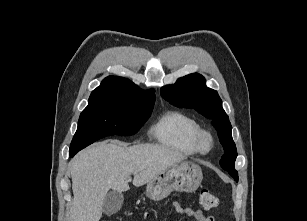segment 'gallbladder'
I'll use <instances>...</instances> for the list:
<instances>
[{
    "instance_id": "1",
    "label": "gallbladder",
    "mask_w": 307,
    "mask_h": 221,
    "mask_svg": "<svg viewBox=\"0 0 307 221\" xmlns=\"http://www.w3.org/2000/svg\"><path fill=\"white\" fill-rule=\"evenodd\" d=\"M123 194L116 191H109L103 200L102 210L103 213L110 216L117 213L123 204Z\"/></svg>"
}]
</instances>
